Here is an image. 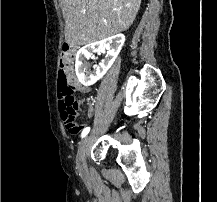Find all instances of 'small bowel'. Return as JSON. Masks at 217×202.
<instances>
[{
    "instance_id": "small-bowel-1",
    "label": "small bowel",
    "mask_w": 217,
    "mask_h": 202,
    "mask_svg": "<svg viewBox=\"0 0 217 202\" xmlns=\"http://www.w3.org/2000/svg\"><path fill=\"white\" fill-rule=\"evenodd\" d=\"M71 79L74 80V82H75V87H76V88H80V85H79L78 81L76 80V77H75L74 74L71 76ZM93 115H94V108H93V105H92V104H89V107H88V110H87V116H88L89 118H92ZM80 126H81V128H84V125H83V124H81Z\"/></svg>"
}]
</instances>
